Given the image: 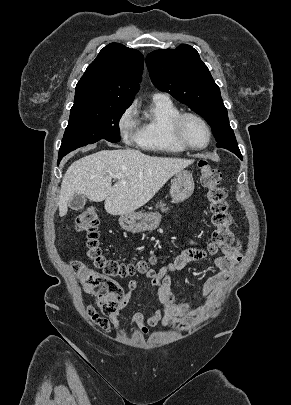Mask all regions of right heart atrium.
Returning a JSON list of instances; mask_svg holds the SVG:
<instances>
[{
	"mask_svg": "<svg viewBox=\"0 0 291 405\" xmlns=\"http://www.w3.org/2000/svg\"><path fill=\"white\" fill-rule=\"evenodd\" d=\"M118 130L122 140L127 144L137 142L138 123L135 115V107L128 106L118 119Z\"/></svg>",
	"mask_w": 291,
	"mask_h": 405,
	"instance_id": "d8ad5b80",
	"label": "right heart atrium"
}]
</instances>
